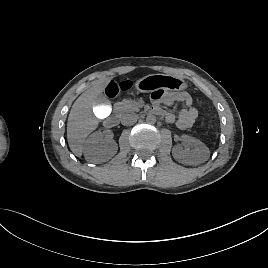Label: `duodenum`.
Listing matches in <instances>:
<instances>
[{"mask_svg": "<svg viewBox=\"0 0 268 268\" xmlns=\"http://www.w3.org/2000/svg\"><path fill=\"white\" fill-rule=\"evenodd\" d=\"M119 121V115L117 113L112 114L106 119V125L108 127L114 126Z\"/></svg>", "mask_w": 268, "mask_h": 268, "instance_id": "1", "label": "duodenum"}]
</instances>
